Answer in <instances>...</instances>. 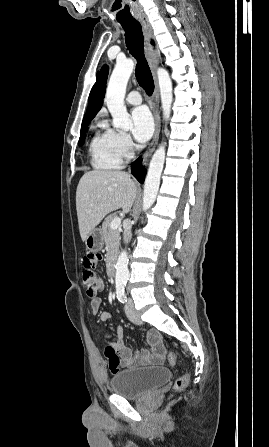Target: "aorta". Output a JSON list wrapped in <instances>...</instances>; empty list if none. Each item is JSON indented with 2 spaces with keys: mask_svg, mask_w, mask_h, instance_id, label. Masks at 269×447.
<instances>
[{
  "mask_svg": "<svg viewBox=\"0 0 269 447\" xmlns=\"http://www.w3.org/2000/svg\"><path fill=\"white\" fill-rule=\"evenodd\" d=\"M134 68L133 60H116V66L111 74L104 102L113 118V128L130 130L133 126L131 116L124 106V98L128 80ZM157 78L164 120H168L173 102L172 82L168 72L163 68H157ZM165 156L166 148L165 142H163L154 152L149 164L144 184V212L153 206L157 198ZM129 275L127 251H121L116 263V285H124L128 281Z\"/></svg>",
  "mask_w": 269,
  "mask_h": 447,
  "instance_id": "obj_1",
  "label": "aorta"
}]
</instances>
